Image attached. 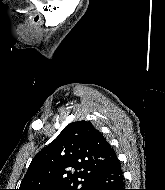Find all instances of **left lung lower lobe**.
I'll list each match as a JSON object with an SVG mask.
<instances>
[{"mask_svg": "<svg viewBox=\"0 0 165 190\" xmlns=\"http://www.w3.org/2000/svg\"><path fill=\"white\" fill-rule=\"evenodd\" d=\"M89 190H125L123 172L117 157L96 175Z\"/></svg>", "mask_w": 165, "mask_h": 190, "instance_id": "1", "label": "left lung lower lobe"}]
</instances>
